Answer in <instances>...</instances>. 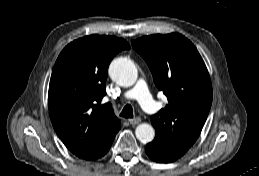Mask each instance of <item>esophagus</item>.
Listing matches in <instances>:
<instances>
[{
    "label": "esophagus",
    "instance_id": "esophagus-1",
    "mask_svg": "<svg viewBox=\"0 0 259 176\" xmlns=\"http://www.w3.org/2000/svg\"><path fill=\"white\" fill-rule=\"evenodd\" d=\"M128 121L131 125H137L141 122V118H139V117L131 118Z\"/></svg>",
    "mask_w": 259,
    "mask_h": 176
}]
</instances>
